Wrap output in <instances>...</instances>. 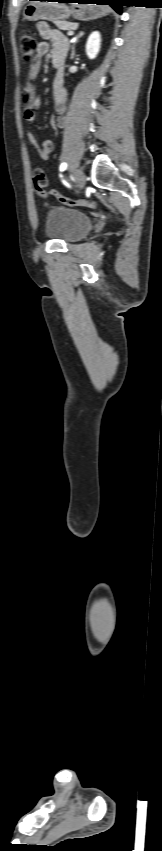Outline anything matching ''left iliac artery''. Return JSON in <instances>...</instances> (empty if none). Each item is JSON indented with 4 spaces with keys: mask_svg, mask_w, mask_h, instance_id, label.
Listing matches in <instances>:
<instances>
[{
    "mask_svg": "<svg viewBox=\"0 0 162 851\" xmlns=\"http://www.w3.org/2000/svg\"><path fill=\"white\" fill-rule=\"evenodd\" d=\"M66 167H67V164H66V163H62V164L60 165V171H64V170L66 169ZM63 183H64L66 186H69V185H68L65 181H63Z\"/></svg>",
    "mask_w": 162,
    "mask_h": 851,
    "instance_id": "obj_1",
    "label": "left iliac artery"
}]
</instances>
